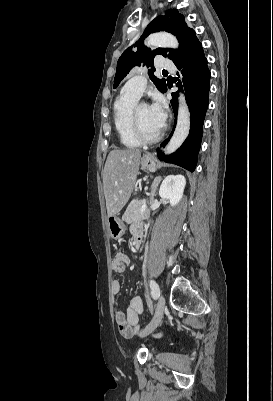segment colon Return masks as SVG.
Here are the masks:
<instances>
[{"label": "colon", "mask_w": 273, "mask_h": 401, "mask_svg": "<svg viewBox=\"0 0 273 401\" xmlns=\"http://www.w3.org/2000/svg\"><path fill=\"white\" fill-rule=\"evenodd\" d=\"M116 320H117V322H118V317L116 318ZM118 324H119V326H120V323L118 322Z\"/></svg>", "instance_id": "obj_1"}]
</instances>
